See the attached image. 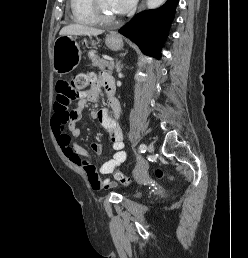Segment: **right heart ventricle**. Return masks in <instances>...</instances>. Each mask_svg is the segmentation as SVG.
<instances>
[{"label": "right heart ventricle", "instance_id": "obj_1", "mask_svg": "<svg viewBox=\"0 0 248 258\" xmlns=\"http://www.w3.org/2000/svg\"><path fill=\"white\" fill-rule=\"evenodd\" d=\"M90 0H69L72 18L75 22L84 25H93L95 20L91 11Z\"/></svg>", "mask_w": 248, "mask_h": 258}]
</instances>
